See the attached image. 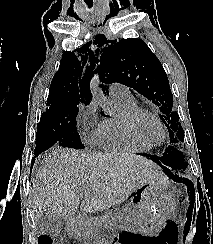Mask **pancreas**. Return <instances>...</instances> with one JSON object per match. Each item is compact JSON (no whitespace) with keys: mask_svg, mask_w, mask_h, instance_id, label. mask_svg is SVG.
Here are the masks:
<instances>
[{"mask_svg":"<svg viewBox=\"0 0 213 244\" xmlns=\"http://www.w3.org/2000/svg\"><path fill=\"white\" fill-rule=\"evenodd\" d=\"M84 230H85V234L87 235V237L93 238V237L97 236V229H96L94 222L88 223Z\"/></svg>","mask_w":213,"mask_h":244,"instance_id":"cf45deb5","label":"pancreas"}]
</instances>
